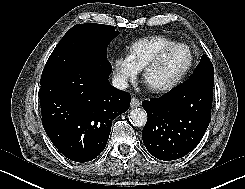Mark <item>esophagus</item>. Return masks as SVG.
Segmentation results:
<instances>
[{
  "mask_svg": "<svg viewBox=\"0 0 245 189\" xmlns=\"http://www.w3.org/2000/svg\"><path fill=\"white\" fill-rule=\"evenodd\" d=\"M132 108L139 107L141 105V101H139L137 98H132L130 103Z\"/></svg>",
  "mask_w": 245,
  "mask_h": 189,
  "instance_id": "obj_1",
  "label": "esophagus"
}]
</instances>
